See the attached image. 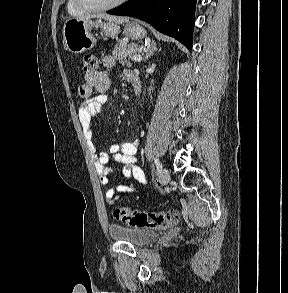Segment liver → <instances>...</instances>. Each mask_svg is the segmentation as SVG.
Instances as JSON below:
<instances>
[{"label": "liver", "instance_id": "1", "mask_svg": "<svg viewBox=\"0 0 288 293\" xmlns=\"http://www.w3.org/2000/svg\"><path fill=\"white\" fill-rule=\"evenodd\" d=\"M92 18L105 19L109 22H114L117 24H122V23L127 22L129 20L128 17H119V16H112V15H107V14H93V15H85V16L79 17V19H92Z\"/></svg>", "mask_w": 288, "mask_h": 293}]
</instances>
